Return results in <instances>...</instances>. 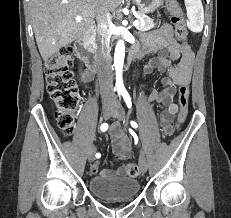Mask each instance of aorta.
Segmentation results:
<instances>
[{"label": "aorta", "mask_w": 231, "mask_h": 218, "mask_svg": "<svg viewBox=\"0 0 231 218\" xmlns=\"http://www.w3.org/2000/svg\"><path fill=\"white\" fill-rule=\"evenodd\" d=\"M124 57H125V44L123 40H119L116 44L115 54H114V66H115V71H116V86L118 90L124 89L123 79H122Z\"/></svg>", "instance_id": "aorta-1"}]
</instances>
